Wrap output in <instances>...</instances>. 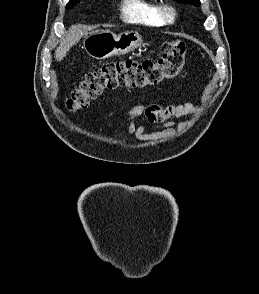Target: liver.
Instances as JSON below:
<instances>
[{"instance_id": "liver-1", "label": "liver", "mask_w": 259, "mask_h": 294, "mask_svg": "<svg viewBox=\"0 0 259 294\" xmlns=\"http://www.w3.org/2000/svg\"><path fill=\"white\" fill-rule=\"evenodd\" d=\"M88 30L89 29L81 25L72 26L69 29L67 36L63 38L62 43L55 51L56 60H63L70 48L76 45L83 36L88 35Z\"/></svg>"}]
</instances>
